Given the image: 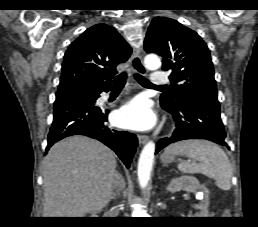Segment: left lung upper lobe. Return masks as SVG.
<instances>
[{"mask_svg":"<svg viewBox=\"0 0 258 227\" xmlns=\"http://www.w3.org/2000/svg\"><path fill=\"white\" fill-rule=\"evenodd\" d=\"M144 49L162 56V69L171 73L172 84L162 93V104L176 106L195 95L217 97L210 52L195 31L171 18L155 17L146 34Z\"/></svg>","mask_w":258,"mask_h":227,"instance_id":"1","label":"left lung upper lobe"}]
</instances>
